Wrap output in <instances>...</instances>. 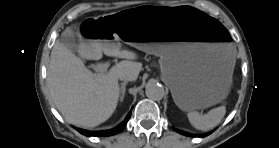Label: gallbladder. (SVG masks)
<instances>
[{
  "label": "gallbladder",
  "instance_id": "obj_1",
  "mask_svg": "<svg viewBox=\"0 0 279 148\" xmlns=\"http://www.w3.org/2000/svg\"><path fill=\"white\" fill-rule=\"evenodd\" d=\"M60 42L71 51H77L78 49L74 34L68 33L67 31L62 33Z\"/></svg>",
  "mask_w": 279,
  "mask_h": 148
}]
</instances>
